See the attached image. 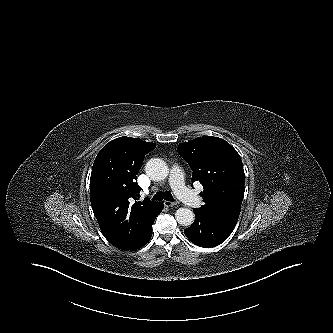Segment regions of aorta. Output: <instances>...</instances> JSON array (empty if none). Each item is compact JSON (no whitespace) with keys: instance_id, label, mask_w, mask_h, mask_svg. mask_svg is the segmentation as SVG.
Segmentation results:
<instances>
[{"instance_id":"obj_1","label":"aorta","mask_w":333,"mask_h":333,"mask_svg":"<svg viewBox=\"0 0 333 333\" xmlns=\"http://www.w3.org/2000/svg\"><path fill=\"white\" fill-rule=\"evenodd\" d=\"M146 173L153 180H164L169 174V168L165 161L160 158L150 159L145 166ZM175 218L178 224L190 226L194 221V213L188 208H179L175 212Z\"/></svg>"}]
</instances>
